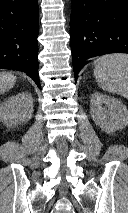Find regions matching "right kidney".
I'll return each instance as SVG.
<instances>
[{"instance_id":"obj_1","label":"right kidney","mask_w":128,"mask_h":213,"mask_svg":"<svg viewBox=\"0 0 128 213\" xmlns=\"http://www.w3.org/2000/svg\"><path fill=\"white\" fill-rule=\"evenodd\" d=\"M33 97L21 92L0 104V120L9 128L28 122L33 114Z\"/></svg>"}]
</instances>
